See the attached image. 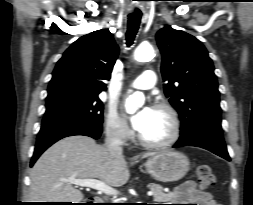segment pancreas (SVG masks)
<instances>
[{"mask_svg": "<svg viewBox=\"0 0 253 205\" xmlns=\"http://www.w3.org/2000/svg\"><path fill=\"white\" fill-rule=\"evenodd\" d=\"M148 188L153 192L154 201L167 202L172 198V194L164 192L161 185L151 183Z\"/></svg>", "mask_w": 253, "mask_h": 205, "instance_id": "1", "label": "pancreas"}]
</instances>
